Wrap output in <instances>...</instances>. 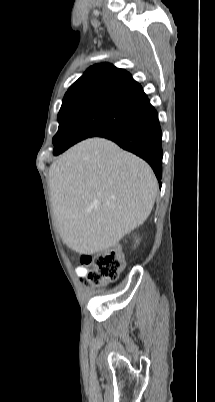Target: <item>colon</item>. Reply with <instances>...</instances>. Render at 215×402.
Instances as JSON below:
<instances>
[{
    "instance_id": "5ec220e1",
    "label": "colon",
    "mask_w": 215,
    "mask_h": 402,
    "mask_svg": "<svg viewBox=\"0 0 215 402\" xmlns=\"http://www.w3.org/2000/svg\"><path fill=\"white\" fill-rule=\"evenodd\" d=\"M82 263L89 267L87 281L94 286L116 280L124 266L121 254L114 250L83 256Z\"/></svg>"
}]
</instances>
